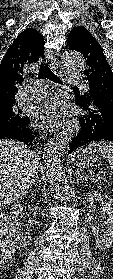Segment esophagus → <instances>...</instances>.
<instances>
[{
	"mask_svg": "<svg viewBox=\"0 0 113 279\" xmlns=\"http://www.w3.org/2000/svg\"><path fill=\"white\" fill-rule=\"evenodd\" d=\"M46 58L48 59L50 68L53 72L57 74H61L64 70L63 66L56 60L55 54L53 50L48 49L46 51ZM64 126H75L76 129H78L77 121L76 119L73 120H67L63 123Z\"/></svg>",
	"mask_w": 113,
	"mask_h": 279,
	"instance_id": "obj_1",
	"label": "esophagus"
}]
</instances>
